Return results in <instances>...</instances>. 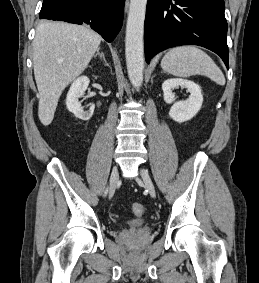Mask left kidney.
Returning a JSON list of instances; mask_svg holds the SVG:
<instances>
[{
    "label": "left kidney",
    "mask_w": 259,
    "mask_h": 283,
    "mask_svg": "<svg viewBox=\"0 0 259 283\" xmlns=\"http://www.w3.org/2000/svg\"><path fill=\"white\" fill-rule=\"evenodd\" d=\"M179 86L186 88L190 95L185 101L175 102L169 111V116L174 121L182 123L192 119L198 113L203 103V96L200 86L192 81L168 79L162 84L164 101L167 104L175 101V95L172 93V90Z\"/></svg>",
    "instance_id": "obj_1"
}]
</instances>
